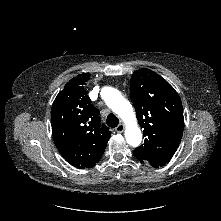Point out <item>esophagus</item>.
Instances as JSON below:
<instances>
[{"instance_id": "obj_1", "label": "esophagus", "mask_w": 221, "mask_h": 221, "mask_svg": "<svg viewBox=\"0 0 221 221\" xmlns=\"http://www.w3.org/2000/svg\"><path fill=\"white\" fill-rule=\"evenodd\" d=\"M124 129H125L124 124H119V125L115 128V130H116L117 133H122V132L124 131Z\"/></svg>"}]
</instances>
